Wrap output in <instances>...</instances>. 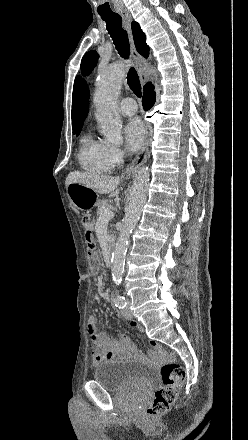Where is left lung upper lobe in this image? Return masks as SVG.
Returning <instances> with one entry per match:
<instances>
[{
	"label": "left lung upper lobe",
	"mask_w": 248,
	"mask_h": 440,
	"mask_svg": "<svg viewBox=\"0 0 248 440\" xmlns=\"http://www.w3.org/2000/svg\"><path fill=\"white\" fill-rule=\"evenodd\" d=\"M99 56L96 51L87 52L81 61V71L83 74L90 73L97 63Z\"/></svg>",
	"instance_id": "left-lung-upper-lobe-1"
}]
</instances>
